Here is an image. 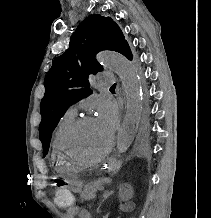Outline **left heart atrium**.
<instances>
[{
	"label": "left heart atrium",
	"instance_id": "obj_1",
	"mask_svg": "<svg viewBox=\"0 0 211 218\" xmlns=\"http://www.w3.org/2000/svg\"><path fill=\"white\" fill-rule=\"evenodd\" d=\"M95 120L105 131L114 134L118 127L119 116L116 106L108 98L98 100Z\"/></svg>",
	"mask_w": 211,
	"mask_h": 218
}]
</instances>
